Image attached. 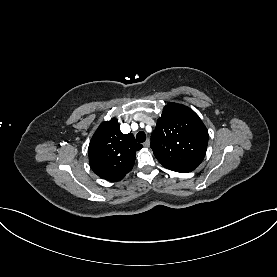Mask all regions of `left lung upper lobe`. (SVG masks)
<instances>
[{
    "label": "left lung upper lobe",
    "instance_id": "5c2ea615",
    "mask_svg": "<svg viewBox=\"0 0 277 277\" xmlns=\"http://www.w3.org/2000/svg\"><path fill=\"white\" fill-rule=\"evenodd\" d=\"M208 131L199 116L189 107L168 103L151 135L155 157L167 169L187 173L205 157Z\"/></svg>",
    "mask_w": 277,
    "mask_h": 277
}]
</instances>
